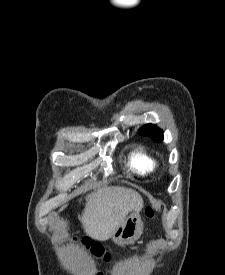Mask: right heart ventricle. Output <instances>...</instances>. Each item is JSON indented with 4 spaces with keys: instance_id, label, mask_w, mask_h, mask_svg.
Wrapping results in <instances>:
<instances>
[{
    "instance_id": "1",
    "label": "right heart ventricle",
    "mask_w": 225,
    "mask_h": 275,
    "mask_svg": "<svg viewBox=\"0 0 225 275\" xmlns=\"http://www.w3.org/2000/svg\"><path fill=\"white\" fill-rule=\"evenodd\" d=\"M128 164L139 174L150 173L156 167L155 160L142 149H135L130 153Z\"/></svg>"
}]
</instances>
